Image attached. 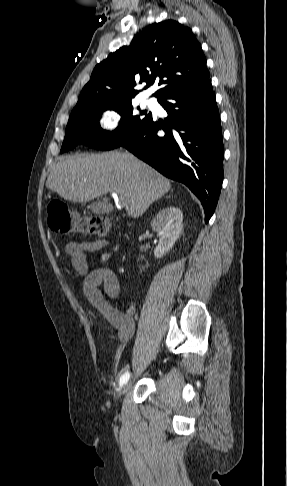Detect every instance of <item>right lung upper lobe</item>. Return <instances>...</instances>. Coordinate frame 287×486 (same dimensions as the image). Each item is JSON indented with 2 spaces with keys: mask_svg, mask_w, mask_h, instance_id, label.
Returning a JSON list of instances; mask_svg holds the SVG:
<instances>
[{
  "mask_svg": "<svg viewBox=\"0 0 287 486\" xmlns=\"http://www.w3.org/2000/svg\"><path fill=\"white\" fill-rule=\"evenodd\" d=\"M206 58L192 30L174 20L155 23L128 46L110 53L94 68L72 112L99 103L128 100L138 94L137 83L161 86L163 96L200 85L209 79Z\"/></svg>",
  "mask_w": 287,
  "mask_h": 486,
  "instance_id": "1",
  "label": "right lung upper lobe"
}]
</instances>
